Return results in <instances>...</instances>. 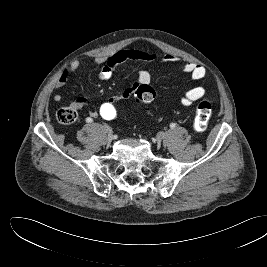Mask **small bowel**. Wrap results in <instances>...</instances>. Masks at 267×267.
Instances as JSON below:
<instances>
[{
	"instance_id": "c3829d8e",
	"label": "small bowel",
	"mask_w": 267,
	"mask_h": 267,
	"mask_svg": "<svg viewBox=\"0 0 267 267\" xmlns=\"http://www.w3.org/2000/svg\"><path fill=\"white\" fill-rule=\"evenodd\" d=\"M156 55L154 53H150L143 50L138 49H128V50H120L111 56L108 60L103 61L102 59H97L99 64H102L101 69L98 73V77L102 80L110 79L115 71V68L129 60H142V61H151L155 59ZM176 57L168 54L162 58V63L168 64L171 62L176 61ZM79 64L77 61H74L70 64L68 68H66L61 76L59 77L58 81L56 82L55 88L56 92L54 93V100L59 102L62 100L63 95L60 92V89L66 84L70 75H72L78 68ZM183 71L190 75V77L195 81L203 80L205 77V69L198 64L195 63H187ZM151 82V72L147 69H143L139 72L137 77V82L127 87L114 96L118 100H124L129 98L132 94L135 93V89L138 85L141 84H149ZM205 94V88L202 85L196 86L190 89L182 98V104L184 106H190L192 103L197 101L198 99L202 98ZM91 105V101L86 97H79L73 102V107L76 109H80L82 107ZM90 114L95 116L97 114L96 108H92Z\"/></svg>"
}]
</instances>
